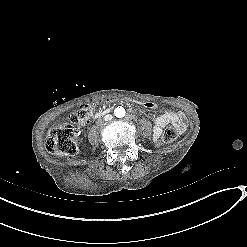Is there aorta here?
Wrapping results in <instances>:
<instances>
[{
    "mask_svg": "<svg viewBox=\"0 0 247 247\" xmlns=\"http://www.w3.org/2000/svg\"><path fill=\"white\" fill-rule=\"evenodd\" d=\"M125 109L122 106H118L117 108H115L114 110V115L118 118H122L125 116Z\"/></svg>",
    "mask_w": 247,
    "mask_h": 247,
    "instance_id": "aorta-1",
    "label": "aorta"
}]
</instances>
